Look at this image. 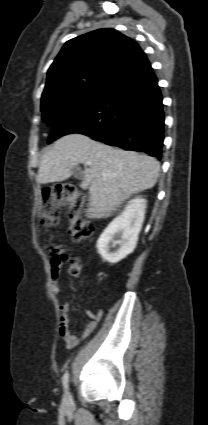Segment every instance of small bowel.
Instances as JSON below:
<instances>
[{"instance_id":"small-bowel-1","label":"small bowel","mask_w":208,"mask_h":425,"mask_svg":"<svg viewBox=\"0 0 208 425\" xmlns=\"http://www.w3.org/2000/svg\"><path fill=\"white\" fill-rule=\"evenodd\" d=\"M59 268L55 269L52 267V275H51V289L54 294L58 295L59 288ZM69 310V305L67 302L58 300V311H59V326L58 332L62 340L65 342L68 348H73L78 345L80 340L92 333L96 327V324L102 318V312L97 311L95 313L88 312V316L90 321L85 326L84 330L80 335L73 334L70 329L67 313Z\"/></svg>"}]
</instances>
